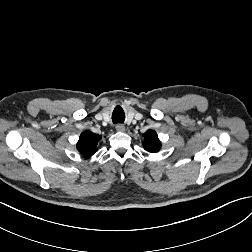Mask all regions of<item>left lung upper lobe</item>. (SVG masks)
I'll return each instance as SVG.
<instances>
[{
    "label": "left lung upper lobe",
    "mask_w": 252,
    "mask_h": 252,
    "mask_svg": "<svg viewBox=\"0 0 252 252\" xmlns=\"http://www.w3.org/2000/svg\"><path fill=\"white\" fill-rule=\"evenodd\" d=\"M143 147L148 152H158L161 148V142L159 141L157 134L154 130H148L144 134Z\"/></svg>",
    "instance_id": "5c2ea615"
}]
</instances>
